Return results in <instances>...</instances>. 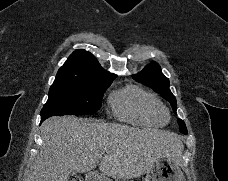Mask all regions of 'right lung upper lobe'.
Here are the masks:
<instances>
[{"mask_svg": "<svg viewBox=\"0 0 228 181\" xmlns=\"http://www.w3.org/2000/svg\"><path fill=\"white\" fill-rule=\"evenodd\" d=\"M116 75L106 72L97 59L86 50L73 52L59 69L55 83L80 84L95 81H111Z\"/></svg>", "mask_w": 228, "mask_h": 181, "instance_id": "right-lung-upper-lobe-1", "label": "right lung upper lobe"}]
</instances>
